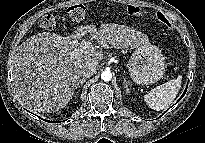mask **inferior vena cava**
<instances>
[{"label": "inferior vena cava", "mask_w": 205, "mask_h": 143, "mask_svg": "<svg viewBox=\"0 0 205 143\" xmlns=\"http://www.w3.org/2000/svg\"><path fill=\"white\" fill-rule=\"evenodd\" d=\"M98 63L95 61L87 62L82 70L81 73L84 77H91L93 74L97 72Z\"/></svg>", "instance_id": "1"}]
</instances>
